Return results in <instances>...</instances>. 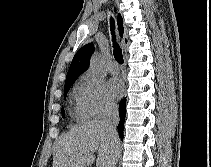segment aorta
Instances as JSON below:
<instances>
[{"mask_svg":"<svg viewBox=\"0 0 211 167\" xmlns=\"http://www.w3.org/2000/svg\"><path fill=\"white\" fill-rule=\"evenodd\" d=\"M90 68L94 71H99V69H100V57L98 55H94L91 58Z\"/></svg>","mask_w":211,"mask_h":167,"instance_id":"obj_1","label":"aorta"}]
</instances>
